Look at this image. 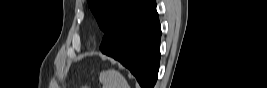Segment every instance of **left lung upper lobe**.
Returning a JSON list of instances; mask_svg holds the SVG:
<instances>
[{"instance_id": "left-lung-upper-lobe-1", "label": "left lung upper lobe", "mask_w": 267, "mask_h": 88, "mask_svg": "<svg viewBox=\"0 0 267 88\" xmlns=\"http://www.w3.org/2000/svg\"><path fill=\"white\" fill-rule=\"evenodd\" d=\"M141 0H88L89 7L103 32H107L128 9Z\"/></svg>"}]
</instances>
